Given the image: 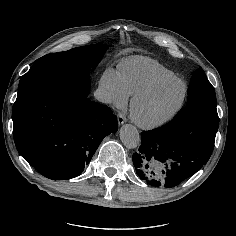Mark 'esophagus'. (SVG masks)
Wrapping results in <instances>:
<instances>
[{"mask_svg": "<svg viewBox=\"0 0 236 236\" xmlns=\"http://www.w3.org/2000/svg\"><path fill=\"white\" fill-rule=\"evenodd\" d=\"M117 119H118V124L119 125H122L126 122V116L124 115V113H119L118 116H117Z\"/></svg>", "mask_w": 236, "mask_h": 236, "instance_id": "1", "label": "esophagus"}]
</instances>
